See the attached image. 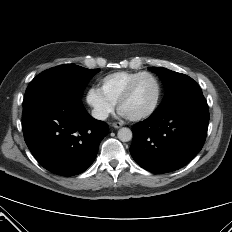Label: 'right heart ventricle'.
Returning <instances> with one entry per match:
<instances>
[{"label": "right heart ventricle", "mask_w": 232, "mask_h": 232, "mask_svg": "<svg viewBox=\"0 0 232 232\" xmlns=\"http://www.w3.org/2000/svg\"><path fill=\"white\" fill-rule=\"evenodd\" d=\"M139 73L128 71L110 73L100 79L99 90L108 101L115 105L126 90L128 84Z\"/></svg>", "instance_id": "obj_1"}]
</instances>
